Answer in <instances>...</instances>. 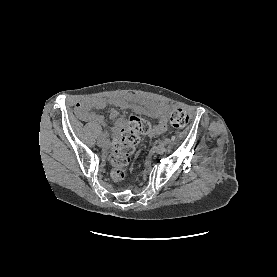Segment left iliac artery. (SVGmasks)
I'll list each match as a JSON object with an SVG mask.
<instances>
[{"mask_svg":"<svg viewBox=\"0 0 277 277\" xmlns=\"http://www.w3.org/2000/svg\"><path fill=\"white\" fill-rule=\"evenodd\" d=\"M160 144H163V145H167V144H169L170 143V140L169 139H167V138H165V139H162V140H160V142H159Z\"/></svg>","mask_w":277,"mask_h":277,"instance_id":"left-iliac-artery-1","label":"left iliac artery"}]
</instances>
